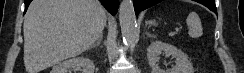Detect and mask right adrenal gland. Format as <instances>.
I'll return each mask as SVG.
<instances>
[{"label":"right adrenal gland","instance_id":"obj_1","mask_svg":"<svg viewBox=\"0 0 244 73\" xmlns=\"http://www.w3.org/2000/svg\"><path fill=\"white\" fill-rule=\"evenodd\" d=\"M102 39H103V35H100L99 38L95 41V43H93V45L90 47V49L93 47H96V46L98 47L100 45Z\"/></svg>","mask_w":244,"mask_h":73}]
</instances>
